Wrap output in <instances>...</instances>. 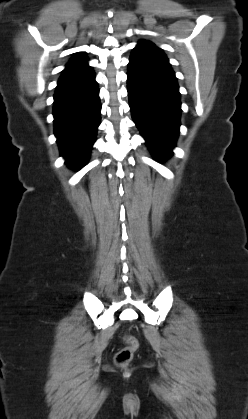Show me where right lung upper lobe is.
I'll use <instances>...</instances> for the list:
<instances>
[{
	"mask_svg": "<svg viewBox=\"0 0 248 419\" xmlns=\"http://www.w3.org/2000/svg\"><path fill=\"white\" fill-rule=\"evenodd\" d=\"M86 61H87V58L85 57L84 53H82V52L76 53L71 58L69 63L66 65L65 70L76 67V66H79V65H82V64L86 63Z\"/></svg>",
	"mask_w": 248,
	"mask_h": 419,
	"instance_id": "1",
	"label": "right lung upper lobe"
}]
</instances>
